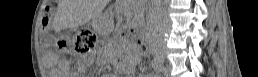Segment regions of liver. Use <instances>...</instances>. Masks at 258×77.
<instances>
[{"label":"liver","mask_w":258,"mask_h":77,"mask_svg":"<svg viewBox=\"0 0 258 77\" xmlns=\"http://www.w3.org/2000/svg\"><path fill=\"white\" fill-rule=\"evenodd\" d=\"M105 0H60L59 21L64 26L74 27L100 16ZM66 13L68 18L62 17Z\"/></svg>","instance_id":"obj_1"}]
</instances>
